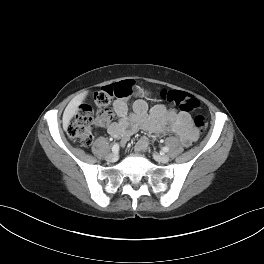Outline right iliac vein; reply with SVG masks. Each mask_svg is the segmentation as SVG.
Listing matches in <instances>:
<instances>
[{
  "label": "right iliac vein",
  "mask_w": 264,
  "mask_h": 264,
  "mask_svg": "<svg viewBox=\"0 0 264 264\" xmlns=\"http://www.w3.org/2000/svg\"><path fill=\"white\" fill-rule=\"evenodd\" d=\"M106 159L110 162H116L118 160V155L116 153H110L106 156Z\"/></svg>",
  "instance_id": "1"
}]
</instances>
